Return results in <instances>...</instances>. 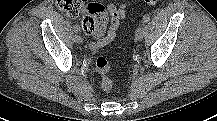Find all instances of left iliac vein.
<instances>
[{
  "mask_svg": "<svg viewBox=\"0 0 217 121\" xmlns=\"http://www.w3.org/2000/svg\"><path fill=\"white\" fill-rule=\"evenodd\" d=\"M143 37H144V28L143 27L137 28V30L135 31V40L140 41L143 39Z\"/></svg>",
  "mask_w": 217,
  "mask_h": 121,
  "instance_id": "1",
  "label": "left iliac vein"
}]
</instances>
